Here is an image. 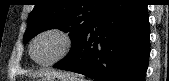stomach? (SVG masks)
<instances>
[{
    "instance_id": "0dacf381",
    "label": "stomach",
    "mask_w": 169,
    "mask_h": 81,
    "mask_svg": "<svg viewBox=\"0 0 169 81\" xmlns=\"http://www.w3.org/2000/svg\"><path fill=\"white\" fill-rule=\"evenodd\" d=\"M37 81H75V80L60 75H49L45 77L42 76Z\"/></svg>"
}]
</instances>
